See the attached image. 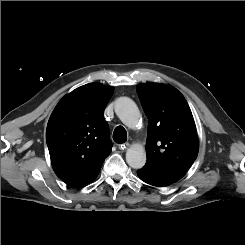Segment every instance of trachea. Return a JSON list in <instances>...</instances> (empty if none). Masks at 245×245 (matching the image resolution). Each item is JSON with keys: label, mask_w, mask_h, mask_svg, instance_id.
Listing matches in <instances>:
<instances>
[{"label": "trachea", "mask_w": 245, "mask_h": 245, "mask_svg": "<svg viewBox=\"0 0 245 245\" xmlns=\"http://www.w3.org/2000/svg\"><path fill=\"white\" fill-rule=\"evenodd\" d=\"M113 139L116 143L122 144L127 141V132L122 126H117L113 132Z\"/></svg>", "instance_id": "obj_1"}]
</instances>
